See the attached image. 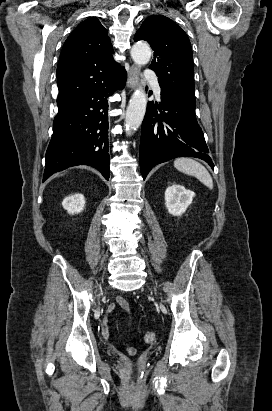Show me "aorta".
Returning <instances> with one entry per match:
<instances>
[{"instance_id":"aorta-1","label":"aorta","mask_w":272,"mask_h":411,"mask_svg":"<svg viewBox=\"0 0 272 411\" xmlns=\"http://www.w3.org/2000/svg\"><path fill=\"white\" fill-rule=\"evenodd\" d=\"M131 57L137 65H145L151 58V49L146 43L137 42L131 49ZM147 99L142 88L134 91L125 117V126L128 134L137 130L141 125L146 112Z\"/></svg>"}]
</instances>
